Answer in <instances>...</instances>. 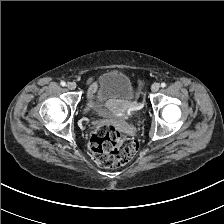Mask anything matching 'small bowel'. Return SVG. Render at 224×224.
Listing matches in <instances>:
<instances>
[{"label": "small bowel", "instance_id": "1", "mask_svg": "<svg viewBox=\"0 0 224 224\" xmlns=\"http://www.w3.org/2000/svg\"><path fill=\"white\" fill-rule=\"evenodd\" d=\"M96 89H97V84L95 81H91L90 85H89V98L92 99L94 94L96 93Z\"/></svg>", "mask_w": 224, "mask_h": 224}]
</instances>
